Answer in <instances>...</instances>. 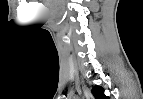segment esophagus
I'll return each mask as SVG.
<instances>
[{
  "label": "esophagus",
  "mask_w": 143,
  "mask_h": 99,
  "mask_svg": "<svg viewBox=\"0 0 143 99\" xmlns=\"http://www.w3.org/2000/svg\"><path fill=\"white\" fill-rule=\"evenodd\" d=\"M84 93L87 98H90V96H91L90 91L86 87H84Z\"/></svg>",
  "instance_id": "esophagus-1"
}]
</instances>
